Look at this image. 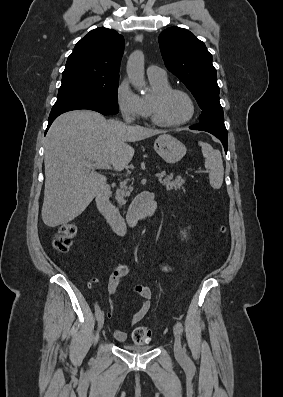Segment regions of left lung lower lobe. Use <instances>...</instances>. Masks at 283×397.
Instances as JSON below:
<instances>
[{"instance_id": "left-lung-lower-lobe-1", "label": "left lung lower lobe", "mask_w": 283, "mask_h": 397, "mask_svg": "<svg viewBox=\"0 0 283 397\" xmlns=\"http://www.w3.org/2000/svg\"><path fill=\"white\" fill-rule=\"evenodd\" d=\"M189 128L192 130L206 131V132L213 134L214 136H216L217 138L220 139V141L222 142L223 147L225 149V152L227 153L228 135H227L226 128H221L216 125L204 124V123L195 124V125L190 126Z\"/></svg>"}]
</instances>
